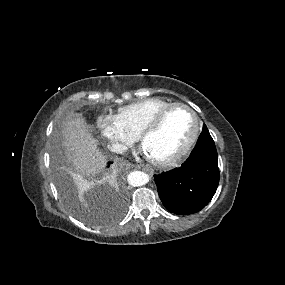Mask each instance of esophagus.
Returning <instances> with one entry per match:
<instances>
[{"mask_svg":"<svg viewBox=\"0 0 285 285\" xmlns=\"http://www.w3.org/2000/svg\"><path fill=\"white\" fill-rule=\"evenodd\" d=\"M142 170L148 171V172H152V169L149 166H142L140 167Z\"/></svg>","mask_w":285,"mask_h":285,"instance_id":"esophagus-1","label":"esophagus"}]
</instances>
